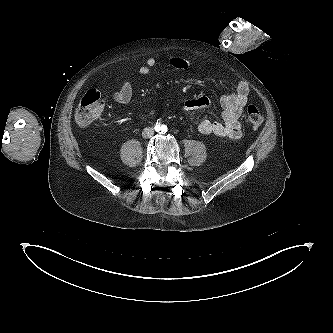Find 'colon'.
Returning <instances> with one entry per match:
<instances>
[{
  "instance_id": "colon-1",
  "label": "colon",
  "mask_w": 333,
  "mask_h": 333,
  "mask_svg": "<svg viewBox=\"0 0 333 333\" xmlns=\"http://www.w3.org/2000/svg\"><path fill=\"white\" fill-rule=\"evenodd\" d=\"M103 110V101L97 88L88 89L81 97L75 120L79 125L86 126L95 121ZM246 122L252 129L259 128L263 123V116L255 105H249L246 110Z\"/></svg>"
}]
</instances>
